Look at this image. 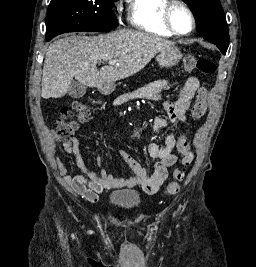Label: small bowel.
<instances>
[{"label": "small bowel", "instance_id": "obj_1", "mask_svg": "<svg viewBox=\"0 0 256 267\" xmlns=\"http://www.w3.org/2000/svg\"><path fill=\"white\" fill-rule=\"evenodd\" d=\"M174 88L175 85L167 80H157L133 92L120 95L114 104L115 106H121L133 100L161 101L167 113V118L157 116L155 119V130L157 134H161L168 124L186 123L187 111L199 88V81L195 76H188L180 84L177 95L173 99L165 98V92ZM185 141H187L185 136L177 138L173 134H169L165 137V145L163 147L150 142L148 144V152L151 157L157 159L152 171L141 166L125 151L120 150V156L132 172L130 178L124 179L118 178L109 172L104 160L100 157L95 159L100 170L96 172L89 169L79 154L77 138L71 137L63 141V147L65 152L75 159L79 174H68L67 168L60 161H58V171L62 183L89 202H97L98 196L107 189H130L140 186L146 193L155 194L167 178L168 168L177 162V156L173 153L174 149L182 153ZM187 145L189 146L188 141Z\"/></svg>", "mask_w": 256, "mask_h": 267}]
</instances>
